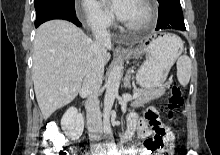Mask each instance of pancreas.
<instances>
[{
	"label": "pancreas",
	"mask_w": 220,
	"mask_h": 155,
	"mask_svg": "<svg viewBox=\"0 0 220 155\" xmlns=\"http://www.w3.org/2000/svg\"><path fill=\"white\" fill-rule=\"evenodd\" d=\"M169 86H170V83H168L164 87H162L154 92H146V93L140 94L135 99V101L132 103L131 106L134 108H138L140 106H143L146 103H149L152 100L159 98L160 96H162L165 93L166 88H168Z\"/></svg>",
	"instance_id": "pancreas-1"
}]
</instances>
